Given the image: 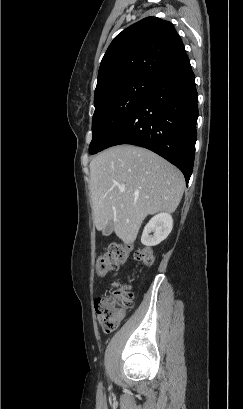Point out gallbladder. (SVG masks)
<instances>
[{"label": "gallbladder", "instance_id": "1", "mask_svg": "<svg viewBox=\"0 0 243 409\" xmlns=\"http://www.w3.org/2000/svg\"><path fill=\"white\" fill-rule=\"evenodd\" d=\"M113 229V221H109L108 224L104 227L102 234L104 236H109L113 232Z\"/></svg>", "mask_w": 243, "mask_h": 409}]
</instances>
